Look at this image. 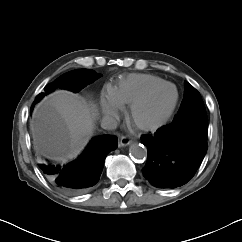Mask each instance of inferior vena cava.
Here are the masks:
<instances>
[{
    "label": "inferior vena cava",
    "instance_id": "1",
    "mask_svg": "<svg viewBox=\"0 0 242 242\" xmlns=\"http://www.w3.org/2000/svg\"><path fill=\"white\" fill-rule=\"evenodd\" d=\"M118 122L111 116H104L101 120V127L107 130H114L117 128Z\"/></svg>",
    "mask_w": 242,
    "mask_h": 242
}]
</instances>
